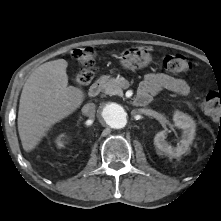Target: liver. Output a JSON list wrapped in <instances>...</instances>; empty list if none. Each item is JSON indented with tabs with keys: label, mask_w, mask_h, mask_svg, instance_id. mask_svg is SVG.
I'll return each instance as SVG.
<instances>
[{
	"label": "liver",
	"mask_w": 221,
	"mask_h": 221,
	"mask_svg": "<svg viewBox=\"0 0 221 221\" xmlns=\"http://www.w3.org/2000/svg\"><path fill=\"white\" fill-rule=\"evenodd\" d=\"M64 59L46 62L27 79L19 102L18 132L26 152L33 150L57 122L75 112L84 101L81 89L68 86Z\"/></svg>",
	"instance_id": "obj_1"
}]
</instances>
